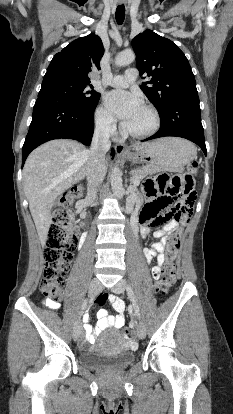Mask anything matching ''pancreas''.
I'll return each instance as SVG.
<instances>
[{
  "mask_svg": "<svg viewBox=\"0 0 233 414\" xmlns=\"http://www.w3.org/2000/svg\"><path fill=\"white\" fill-rule=\"evenodd\" d=\"M156 171L149 168V167H143L139 169H134L131 171V175L133 179L138 180L139 182L143 180L145 177H147L150 174H154Z\"/></svg>",
  "mask_w": 233,
  "mask_h": 414,
  "instance_id": "obj_1",
  "label": "pancreas"
}]
</instances>
